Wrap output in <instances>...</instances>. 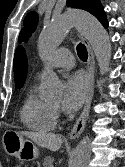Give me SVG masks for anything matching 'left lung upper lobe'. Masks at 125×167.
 Returning <instances> with one entry per match:
<instances>
[{
  "instance_id": "5c2ea615",
  "label": "left lung upper lobe",
  "mask_w": 125,
  "mask_h": 167,
  "mask_svg": "<svg viewBox=\"0 0 125 167\" xmlns=\"http://www.w3.org/2000/svg\"><path fill=\"white\" fill-rule=\"evenodd\" d=\"M67 6L79 8L93 14L101 23L107 22L103 7L98 0H67ZM38 22V15L35 12H30L24 19L19 41H26L31 33L36 29Z\"/></svg>"
}]
</instances>
